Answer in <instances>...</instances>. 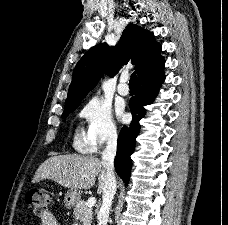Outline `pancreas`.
Returning a JSON list of instances; mask_svg holds the SVG:
<instances>
[{
  "mask_svg": "<svg viewBox=\"0 0 228 225\" xmlns=\"http://www.w3.org/2000/svg\"><path fill=\"white\" fill-rule=\"evenodd\" d=\"M93 209L85 207V201H77L73 209L74 221H80L81 225H91Z\"/></svg>",
  "mask_w": 228,
  "mask_h": 225,
  "instance_id": "obj_1",
  "label": "pancreas"
}]
</instances>
